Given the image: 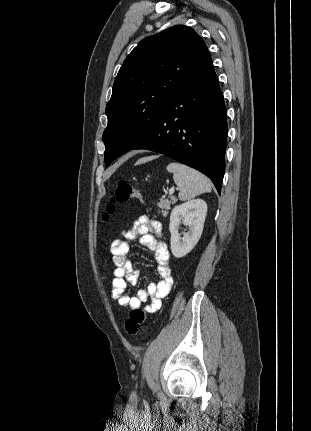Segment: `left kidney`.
I'll list each match as a JSON object with an SVG mask.
<instances>
[{
	"instance_id": "left-kidney-1",
	"label": "left kidney",
	"mask_w": 311,
	"mask_h": 431,
	"mask_svg": "<svg viewBox=\"0 0 311 431\" xmlns=\"http://www.w3.org/2000/svg\"><path fill=\"white\" fill-rule=\"evenodd\" d=\"M207 214V204L204 200H189L185 204L175 206L171 212L169 231L171 233V251L174 257H184L196 245L201 237L205 216ZM179 223L189 225V231L180 237Z\"/></svg>"
}]
</instances>
